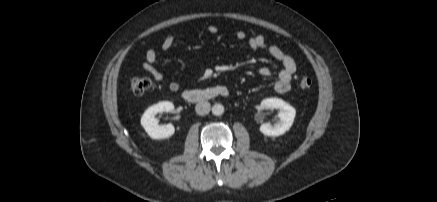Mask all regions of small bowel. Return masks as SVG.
Wrapping results in <instances>:
<instances>
[{
	"label": "small bowel",
	"instance_id": "obj_1",
	"mask_svg": "<svg viewBox=\"0 0 437 202\" xmlns=\"http://www.w3.org/2000/svg\"><path fill=\"white\" fill-rule=\"evenodd\" d=\"M207 31L210 34H216L218 28L215 25H209ZM235 36L240 41L246 39V34L243 31H238ZM174 41L173 35H167L161 43V50L168 51L174 45ZM247 42L251 50H265L280 64L281 69L274 82V89L278 93L288 92L291 88L293 75L297 69L294 59L278 46L268 43L263 35L252 36ZM157 59V51L155 49H148L145 53L142 67L155 81L161 82L164 79V75L156 67ZM259 74L263 77H268L272 74V71L268 67H262L259 69ZM169 88L172 92L177 93L181 90V85L178 82H172Z\"/></svg>",
	"mask_w": 437,
	"mask_h": 202
}]
</instances>
